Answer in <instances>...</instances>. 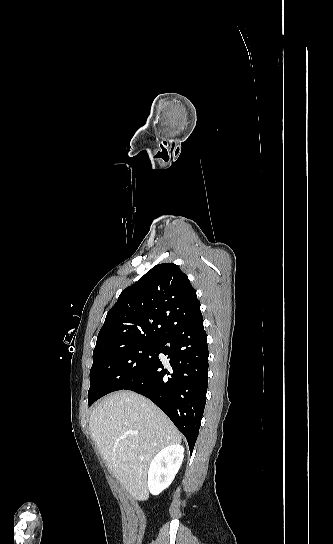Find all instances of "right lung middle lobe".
I'll return each mask as SVG.
<instances>
[{
    "instance_id": "dd1d6c3e",
    "label": "right lung middle lobe",
    "mask_w": 333,
    "mask_h": 544,
    "mask_svg": "<svg viewBox=\"0 0 333 544\" xmlns=\"http://www.w3.org/2000/svg\"><path fill=\"white\" fill-rule=\"evenodd\" d=\"M159 340L139 339L93 355L88 404L121 390L140 376L156 357Z\"/></svg>"
}]
</instances>
